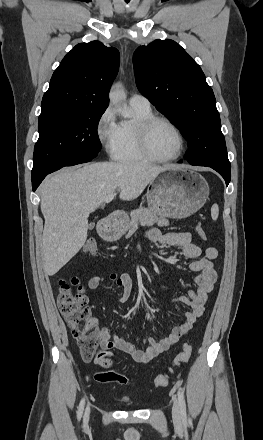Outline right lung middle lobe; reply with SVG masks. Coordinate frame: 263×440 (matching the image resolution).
I'll use <instances>...</instances> for the list:
<instances>
[{
    "mask_svg": "<svg viewBox=\"0 0 263 440\" xmlns=\"http://www.w3.org/2000/svg\"><path fill=\"white\" fill-rule=\"evenodd\" d=\"M105 109L50 111L39 116V139L33 155L32 180L59 166L83 163L86 153H98V122Z\"/></svg>",
    "mask_w": 263,
    "mask_h": 440,
    "instance_id": "dd1d6c3e",
    "label": "right lung middle lobe"
}]
</instances>
